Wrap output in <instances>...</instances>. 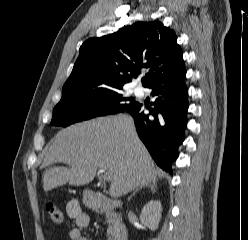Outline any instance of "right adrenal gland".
<instances>
[{
  "label": "right adrenal gland",
  "instance_id": "obj_1",
  "mask_svg": "<svg viewBox=\"0 0 248 240\" xmlns=\"http://www.w3.org/2000/svg\"><path fill=\"white\" fill-rule=\"evenodd\" d=\"M149 188L151 192L155 193L157 190V186L156 183H150V184H146V185H142L140 187H138L131 196L128 197V202L132 199V197L135 195L136 192H138L140 189L142 188Z\"/></svg>",
  "mask_w": 248,
  "mask_h": 240
}]
</instances>
